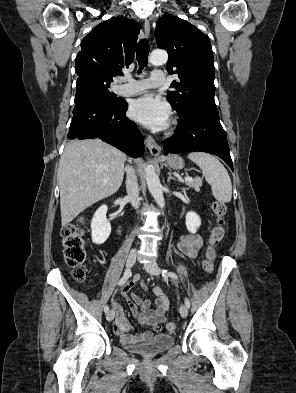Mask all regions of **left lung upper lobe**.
<instances>
[{
	"label": "left lung upper lobe",
	"instance_id": "left-lung-upper-lobe-1",
	"mask_svg": "<svg viewBox=\"0 0 296 393\" xmlns=\"http://www.w3.org/2000/svg\"><path fill=\"white\" fill-rule=\"evenodd\" d=\"M159 48L168 51L167 71L179 75L167 93V100L180 120L195 108L216 107L215 68L209 37L199 29L171 14L164 15L155 31ZM217 108V107H216Z\"/></svg>",
	"mask_w": 296,
	"mask_h": 393
}]
</instances>
